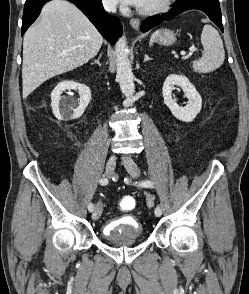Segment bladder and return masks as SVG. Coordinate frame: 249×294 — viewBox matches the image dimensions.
I'll use <instances>...</instances> for the list:
<instances>
[{
	"label": "bladder",
	"instance_id": "obj_1",
	"mask_svg": "<svg viewBox=\"0 0 249 294\" xmlns=\"http://www.w3.org/2000/svg\"><path fill=\"white\" fill-rule=\"evenodd\" d=\"M141 222L133 216L114 217L109 219L103 231V238L112 241L117 238H132L139 240L142 236Z\"/></svg>",
	"mask_w": 249,
	"mask_h": 294
}]
</instances>
